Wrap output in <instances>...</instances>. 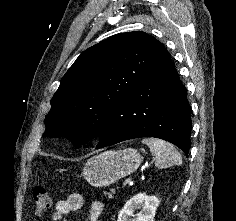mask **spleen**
I'll return each mask as SVG.
<instances>
[{
	"label": "spleen",
	"instance_id": "3e777b00",
	"mask_svg": "<svg viewBox=\"0 0 236 221\" xmlns=\"http://www.w3.org/2000/svg\"><path fill=\"white\" fill-rule=\"evenodd\" d=\"M142 143L146 144L156 157L155 166L157 168H167L182 164L180 153L171 143L158 138H144Z\"/></svg>",
	"mask_w": 236,
	"mask_h": 221
}]
</instances>
